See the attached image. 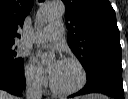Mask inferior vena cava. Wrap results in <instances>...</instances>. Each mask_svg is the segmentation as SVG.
I'll list each match as a JSON object with an SVG mask.
<instances>
[{"mask_svg": "<svg viewBox=\"0 0 128 99\" xmlns=\"http://www.w3.org/2000/svg\"><path fill=\"white\" fill-rule=\"evenodd\" d=\"M26 99H41L42 98V85L41 80L38 78H28L26 81Z\"/></svg>", "mask_w": 128, "mask_h": 99, "instance_id": "inferior-vena-cava-1", "label": "inferior vena cava"}]
</instances>
